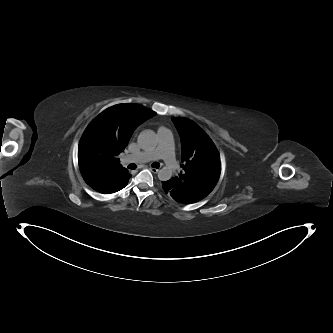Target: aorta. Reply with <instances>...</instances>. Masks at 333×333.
Returning a JSON list of instances; mask_svg holds the SVG:
<instances>
[{"mask_svg": "<svg viewBox=\"0 0 333 333\" xmlns=\"http://www.w3.org/2000/svg\"><path fill=\"white\" fill-rule=\"evenodd\" d=\"M138 144L144 150H150L156 147L157 137L153 130H144L138 136ZM172 172L168 168L164 167L159 170L158 178L161 181H167L171 178Z\"/></svg>", "mask_w": 333, "mask_h": 333, "instance_id": "762f6f07", "label": "aorta"}]
</instances>
